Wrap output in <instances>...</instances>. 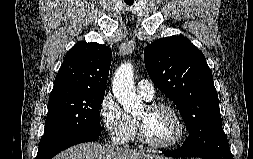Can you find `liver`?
Listing matches in <instances>:
<instances>
[{
    "label": "liver",
    "instance_id": "liver-1",
    "mask_svg": "<svg viewBox=\"0 0 253 159\" xmlns=\"http://www.w3.org/2000/svg\"><path fill=\"white\" fill-rule=\"evenodd\" d=\"M153 157L170 159L155 154L145 153L142 150L124 149L95 142L83 143L70 147L53 159H146Z\"/></svg>",
    "mask_w": 253,
    "mask_h": 159
}]
</instances>
